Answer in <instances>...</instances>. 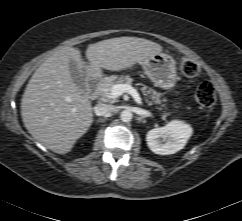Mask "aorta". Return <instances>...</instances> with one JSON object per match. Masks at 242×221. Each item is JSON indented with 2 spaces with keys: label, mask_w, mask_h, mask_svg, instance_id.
I'll return each instance as SVG.
<instances>
[{
  "label": "aorta",
  "mask_w": 242,
  "mask_h": 221,
  "mask_svg": "<svg viewBox=\"0 0 242 221\" xmlns=\"http://www.w3.org/2000/svg\"><path fill=\"white\" fill-rule=\"evenodd\" d=\"M132 112L129 111V110H123L120 114V119L123 121V122H130L131 119H132Z\"/></svg>",
  "instance_id": "762f6f07"
}]
</instances>
